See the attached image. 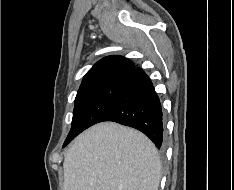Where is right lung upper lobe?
I'll return each instance as SVG.
<instances>
[{
  "label": "right lung upper lobe",
  "mask_w": 234,
  "mask_h": 190,
  "mask_svg": "<svg viewBox=\"0 0 234 190\" xmlns=\"http://www.w3.org/2000/svg\"><path fill=\"white\" fill-rule=\"evenodd\" d=\"M135 68L133 62L122 56L104 57L85 74L79 91L113 80L125 79Z\"/></svg>",
  "instance_id": "1"
}]
</instances>
